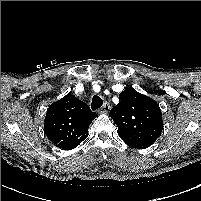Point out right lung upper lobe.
<instances>
[{
  "instance_id": "1",
  "label": "right lung upper lobe",
  "mask_w": 201,
  "mask_h": 201,
  "mask_svg": "<svg viewBox=\"0 0 201 201\" xmlns=\"http://www.w3.org/2000/svg\"><path fill=\"white\" fill-rule=\"evenodd\" d=\"M96 117L85 102L68 93L48 108L44 132L57 147L73 149L87 138L88 127Z\"/></svg>"
}]
</instances>
